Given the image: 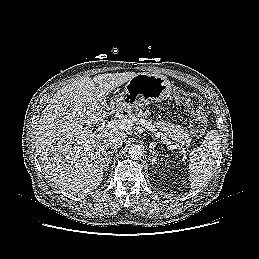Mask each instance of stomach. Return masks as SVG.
Instances as JSON below:
<instances>
[{
	"mask_svg": "<svg viewBox=\"0 0 259 259\" xmlns=\"http://www.w3.org/2000/svg\"><path fill=\"white\" fill-rule=\"evenodd\" d=\"M171 84L163 75L138 73L116 95L112 105L117 109L138 110L149 104L161 102L170 97Z\"/></svg>",
	"mask_w": 259,
	"mask_h": 259,
	"instance_id": "1",
	"label": "stomach"
}]
</instances>
